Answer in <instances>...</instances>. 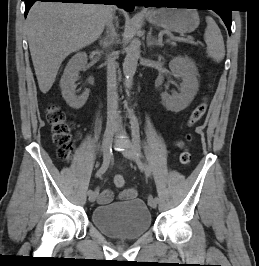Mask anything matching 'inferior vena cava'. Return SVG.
<instances>
[{
    "instance_id": "inferior-vena-cava-1",
    "label": "inferior vena cava",
    "mask_w": 259,
    "mask_h": 266,
    "mask_svg": "<svg viewBox=\"0 0 259 266\" xmlns=\"http://www.w3.org/2000/svg\"><path fill=\"white\" fill-rule=\"evenodd\" d=\"M113 19V9H111L106 22L109 41L104 47H109L110 45H112L117 38ZM115 59V53H112V55L107 58V114L110 122H117L118 120V93Z\"/></svg>"
}]
</instances>
